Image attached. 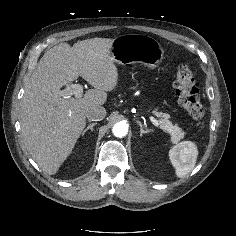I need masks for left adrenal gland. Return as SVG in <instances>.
<instances>
[{
  "instance_id": "1",
  "label": "left adrenal gland",
  "mask_w": 236,
  "mask_h": 236,
  "mask_svg": "<svg viewBox=\"0 0 236 236\" xmlns=\"http://www.w3.org/2000/svg\"><path fill=\"white\" fill-rule=\"evenodd\" d=\"M138 124H139V126H140V136H142L143 134H145V133H148L149 132V129H143V125H142V123L140 122V121H136Z\"/></svg>"
}]
</instances>
